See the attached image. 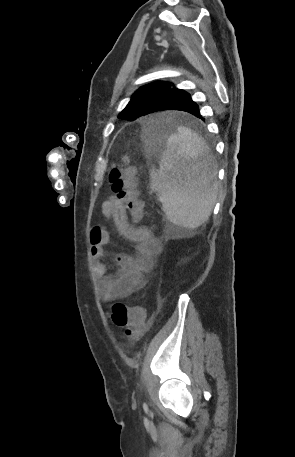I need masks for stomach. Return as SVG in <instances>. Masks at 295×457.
I'll list each match as a JSON object with an SVG mask.
<instances>
[{
  "mask_svg": "<svg viewBox=\"0 0 295 457\" xmlns=\"http://www.w3.org/2000/svg\"><path fill=\"white\" fill-rule=\"evenodd\" d=\"M161 147H162V148H167V143H166L165 140H164V141H161Z\"/></svg>",
  "mask_w": 295,
  "mask_h": 457,
  "instance_id": "stomach-1",
  "label": "stomach"
}]
</instances>
